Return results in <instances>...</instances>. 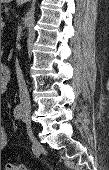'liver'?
<instances>
[{
  "label": "liver",
  "mask_w": 109,
  "mask_h": 170,
  "mask_svg": "<svg viewBox=\"0 0 109 170\" xmlns=\"http://www.w3.org/2000/svg\"><path fill=\"white\" fill-rule=\"evenodd\" d=\"M12 0H1L2 3H9ZM28 0H16V3L18 4V6L24 4L25 2H27Z\"/></svg>",
  "instance_id": "1"
}]
</instances>
